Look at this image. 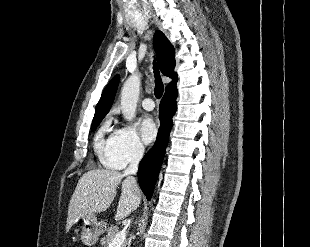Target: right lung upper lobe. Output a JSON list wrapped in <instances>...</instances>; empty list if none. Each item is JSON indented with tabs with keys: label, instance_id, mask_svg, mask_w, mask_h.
<instances>
[{
	"label": "right lung upper lobe",
	"instance_id": "1",
	"mask_svg": "<svg viewBox=\"0 0 310 247\" xmlns=\"http://www.w3.org/2000/svg\"><path fill=\"white\" fill-rule=\"evenodd\" d=\"M153 44L161 72L163 75L173 79L166 89L172 88L176 86L177 81V74L173 71L176 64L174 48L161 31L155 32ZM118 82L119 76H115L105 87L98 102L93 121L99 117H105L109 112L116 94Z\"/></svg>",
	"mask_w": 310,
	"mask_h": 247
}]
</instances>
